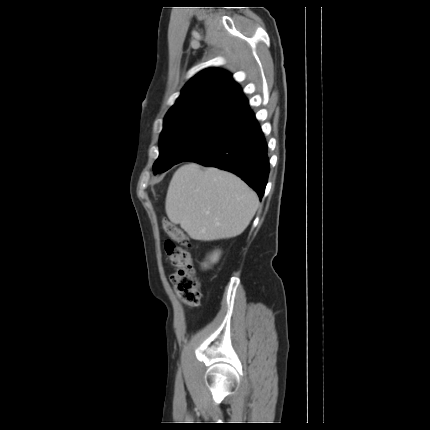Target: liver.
Returning a JSON list of instances; mask_svg holds the SVG:
<instances>
[{
	"label": "liver",
	"mask_w": 430,
	"mask_h": 430,
	"mask_svg": "<svg viewBox=\"0 0 430 430\" xmlns=\"http://www.w3.org/2000/svg\"><path fill=\"white\" fill-rule=\"evenodd\" d=\"M258 205L257 194L238 176L189 163L173 175L165 209L192 239L211 241L240 235Z\"/></svg>",
	"instance_id": "liver-1"
}]
</instances>
